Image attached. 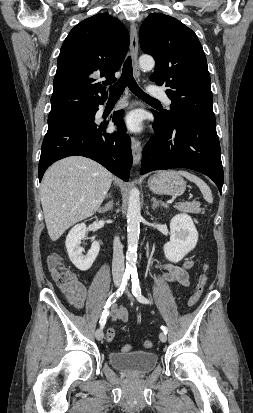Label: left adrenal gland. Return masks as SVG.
Returning <instances> with one entry per match:
<instances>
[{
	"instance_id": "1",
	"label": "left adrenal gland",
	"mask_w": 253,
	"mask_h": 413,
	"mask_svg": "<svg viewBox=\"0 0 253 413\" xmlns=\"http://www.w3.org/2000/svg\"><path fill=\"white\" fill-rule=\"evenodd\" d=\"M151 202H152V209L155 210L159 205L167 208L168 205L166 203H164L161 200H157L155 197L151 198Z\"/></svg>"
}]
</instances>
